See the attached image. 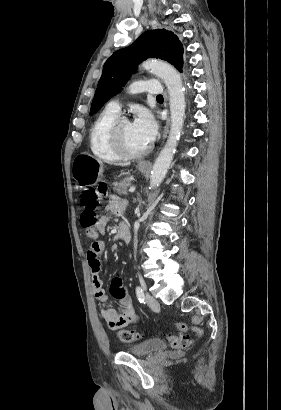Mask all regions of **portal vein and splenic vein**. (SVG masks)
<instances>
[{
	"label": "portal vein and splenic vein",
	"mask_w": 281,
	"mask_h": 410,
	"mask_svg": "<svg viewBox=\"0 0 281 410\" xmlns=\"http://www.w3.org/2000/svg\"><path fill=\"white\" fill-rule=\"evenodd\" d=\"M135 190H136V187H135V186H131L128 191H129L130 193H133Z\"/></svg>",
	"instance_id": "18ae733b"
}]
</instances>
